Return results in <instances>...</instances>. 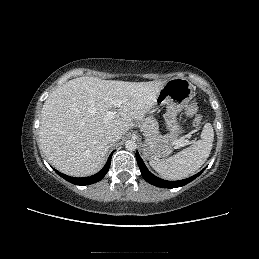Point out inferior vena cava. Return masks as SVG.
<instances>
[{"label": "inferior vena cava", "mask_w": 259, "mask_h": 259, "mask_svg": "<svg viewBox=\"0 0 259 259\" xmlns=\"http://www.w3.org/2000/svg\"><path fill=\"white\" fill-rule=\"evenodd\" d=\"M122 133L120 131H111L106 135V140L108 143H115L120 140Z\"/></svg>", "instance_id": "1"}]
</instances>
